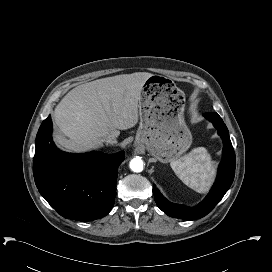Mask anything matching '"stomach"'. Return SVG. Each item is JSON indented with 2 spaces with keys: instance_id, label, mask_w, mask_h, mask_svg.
<instances>
[{
  "instance_id": "obj_1",
  "label": "stomach",
  "mask_w": 272,
  "mask_h": 272,
  "mask_svg": "<svg viewBox=\"0 0 272 272\" xmlns=\"http://www.w3.org/2000/svg\"><path fill=\"white\" fill-rule=\"evenodd\" d=\"M140 125L136 145L163 163L179 158L192 143L184 120V93L169 78L152 75L139 99Z\"/></svg>"
}]
</instances>
